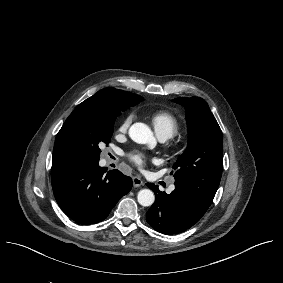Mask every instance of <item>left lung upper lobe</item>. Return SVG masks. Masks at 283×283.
I'll use <instances>...</instances> for the list:
<instances>
[{"label": "left lung upper lobe", "instance_id": "obj_1", "mask_svg": "<svg viewBox=\"0 0 283 283\" xmlns=\"http://www.w3.org/2000/svg\"><path fill=\"white\" fill-rule=\"evenodd\" d=\"M172 101L186 109L189 136L186 150L173 165L174 184L211 204L223 170L221 129L202 98Z\"/></svg>", "mask_w": 283, "mask_h": 283}]
</instances>
